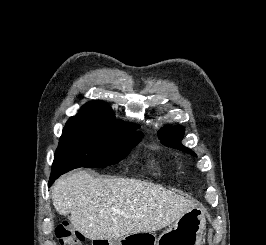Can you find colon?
<instances>
[{
  "instance_id": "obj_1",
  "label": "colon",
  "mask_w": 266,
  "mask_h": 245,
  "mask_svg": "<svg viewBox=\"0 0 266 245\" xmlns=\"http://www.w3.org/2000/svg\"><path fill=\"white\" fill-rule=\"evenodd\" d=\"M56 235L61 245H83L85 241L83 235L73 229L67 221L60 224L57 228Z\"/></svg>"
}]
</instances>
